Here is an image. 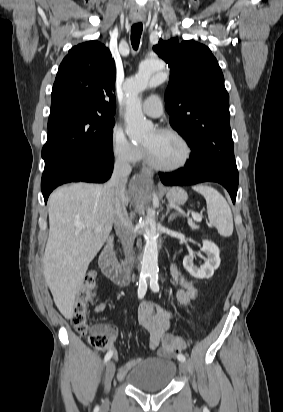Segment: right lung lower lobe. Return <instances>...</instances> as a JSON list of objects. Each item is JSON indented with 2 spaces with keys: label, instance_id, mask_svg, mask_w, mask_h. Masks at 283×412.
Segmentation results:
<instances>
[{
  "label": "right lung lower lobe",
  "instance_id": "obj_1",
  "mask_svg": "<svg viewBox=\"0 0 283 412\" xmlns=\"http://www.w3.org/2000/svg\"><path fill=\"white\" fill-rule=\"evenodd\" d=\"M114 158L98 155L81 156L77 154H62L45 161L41 180V190L44 201L59 185L68 182L107 181L112 173Z\"/></svg>",
  "mask_w": 283,
  "mask_h": 412
}]
</instances>
